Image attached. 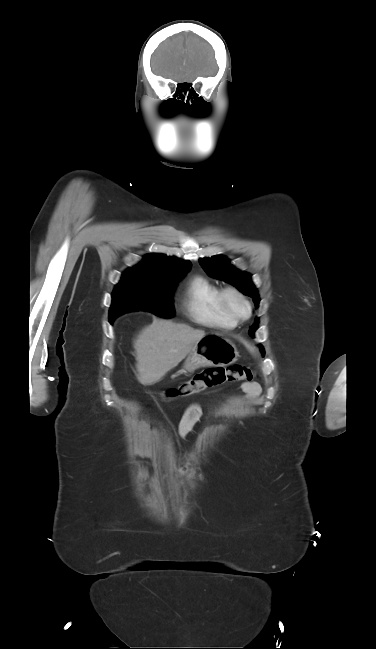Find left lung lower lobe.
<instances>
[{
  "label": "left lung lower lobe",
  "mask_w": 376,
  "mask_h": 649,
  "mask_svg": "<svg viewBox=\"0 0 376 649\" xmlns=\"http://www.w3.org/2000/svg\"><path fill=\"white\" fill-rule=\"evenodd\" d=\"M259 346H260L261 352L264 353L263 347L261 345H259Z\"/></svg>",
  "instance_id": "1"
}]
</instances>
